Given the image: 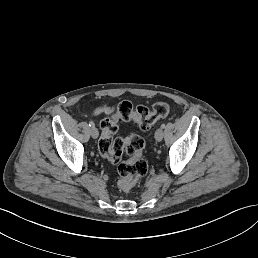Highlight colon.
Returning <instances> with one entry per match:
<instances>
[{"instance_id": "colon-1", "label": "colon", "mask_w": 258, "mask_h": 258, "mask_svg": "<svg viewBox=\"0 0 258 258\" xmlns=\"http://www.w3.org/2000/svg\"><path fill=\"white\" fill-rule=\"evenodd\" d=\"M170 107L166 102H156L151 108L134 107L131 102H121L116 111L100 123L101 135L98 142L99 152L112 163L118 164V187L124 192H130L137 181L147 173L148 164L143 158L145 142L139 135H131L125 139L115 138L118 123L135 122L146 131L158 120L169 115ZM126 154L128 159L121 161Z\"/></svg>"}]
</instances>
